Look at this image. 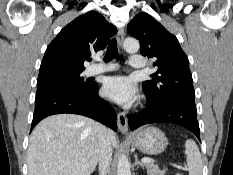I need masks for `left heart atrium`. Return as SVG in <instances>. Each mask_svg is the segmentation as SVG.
I'll list each match as a JSON object with an SVG mask.
<instances>
[{"label":"left heart atrium","instance_id":"obj_1","mask_svg":"<svg viewBox=\"0 0 233 175\" xmlns=\"http://www.w3.org/2000/svg\"><path fill=\"white\" fill-rule=\"evenodd\" d=\"M103 93L119 104H129L137 96L132 80L126 76L108 78L104 83Z\"/></svg>","mask_w":233,"mask_h":175}]
</instances>
